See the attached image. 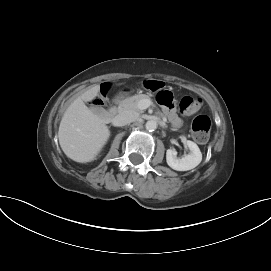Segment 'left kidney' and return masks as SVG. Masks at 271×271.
Listing matches in <instances>:
<instances>
[{"label":"left kidney","mask_w":271,"mask_h":271,"mask_svg":"<svg viewBox=\"0 0 271 271\" xmlns=\"http://www.w3.org/2000/svg\"><path fill=\"white\" fill-rule=\"evenodd\" d=\"M183 143L189 148L190 153L182 158L177 157L175 149L166 152L167 164L176 171H187L195 168L202 161V153L196 143L183 139Z\"/></svg>","instance_id":"left-kidney-1"}]
</instances>
